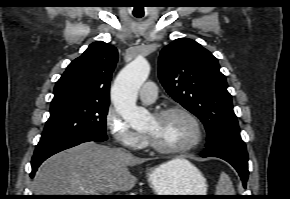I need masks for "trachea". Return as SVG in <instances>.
<instances>
[{
    "label": "trachea",
    "mask_w": 290,
    "mask_h": 199,
    "mask_svg": "<svg viewBox=\"0 0 290 199\" xmlns=\"http://www.w3.org/2000/svg\"><path fill=\"white\" fill-rule=\"evenodd\" d=\"M136 17L140 18V17H142V16H136Z\"/></svg>",
    "instance_id": "1"
}]
</instances>
